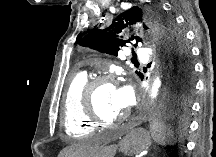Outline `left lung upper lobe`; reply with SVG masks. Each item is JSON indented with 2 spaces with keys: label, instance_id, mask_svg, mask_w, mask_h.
Returning <instances> with one entry per match:
<instances>
[{
  "label": "left lung upper lobe",
  "instance_id": "1",
  "mask_svg": "<svg viewBox=\"0 0 216 157\" xmlns=\"http://www.w3.org/2000/svg\"><path fill=\"white\" fill-rule=\"evenodd\" d=\"M136 23H143V28L152 31L158 38L168 67L167 88L172 75L182 85L190 83L193 80V65L185 37L176 27L173 19L165 15L159 7L133 6L119 14L109 27L87 34L79 45L117 55L126 43L135 41L134 46H137L138 42H142L138 36L131 35L127 40L120 39L118 36L122 30ZM136 73L142 78L141 73Z\"/></svg>",
  "mask_w": 216,
  "mask_h": 157
}]
</instances>
